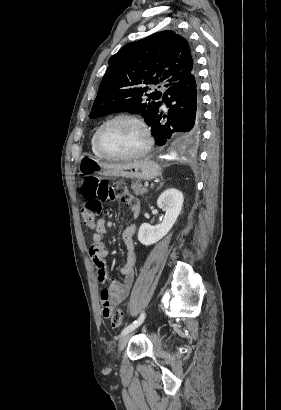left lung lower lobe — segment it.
Wrapping results in <instances>:
<instances>
[{
	"instance_id": "1",
	"label": "left lung lower lobe",
	"mask_w": 281,
	"mask_h": 410,
	"mask_svg": "<svg viewBox=\"0 0 281 410\" xmlns=\"http://www.w3.org/2000/svg\"><path fill=\"white\" fill-rule=\"evenodd\" d=\"M163 102L168 108L167 122L159 110L154 120L147 124L157 145L162 146L172 133L179 132L184 144L195 143L200 136L201 99L198 91L197 72L194 71L181 81L171 85L163 94ZM162 102H159V108Z\"/></svg>"
}]
</instances>
